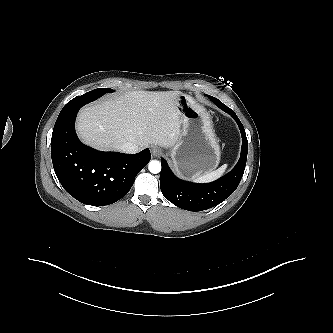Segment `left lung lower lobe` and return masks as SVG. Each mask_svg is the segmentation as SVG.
I'll use <instances>...</instances> for the list:
<instances>
[{"mask_svg":"<svg viewBox=\"0 0 333 333\" xmlns=\"http://www.w3.org/2000/svg\"><path fill=\"white\" fill-rule=\"evenodd\" d=\"M209 98L220 109L231 115L238 124L242 135L241 156L236 166L228 174L214 182L205 184L188 182L177 178L169 168L166 160L161 158L160 187L162 194L174 205L188 211H203L220 204L228 198L238 187L246 165L248 141L241 121L233 110L220 100L213 96H209Z\"/></svg>","mask_w":333,"mask_h":333,"instance_id":"0a47b994","label":"left lung lower lobe"}]
</instances>
